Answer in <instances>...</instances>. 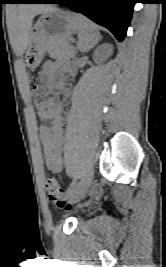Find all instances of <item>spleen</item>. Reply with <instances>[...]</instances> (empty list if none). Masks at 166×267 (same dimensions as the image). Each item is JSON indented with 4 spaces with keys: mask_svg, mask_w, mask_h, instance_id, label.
Listing matches in <instances>:
<instances>
[{
    "mask_svg": "<svg viewBox=\"0 0 166 267\" xmlns=\"http://www.w3.org/2000/svg\"><path fill=\"white\" fill-rule=\"evenodd\" d=\"M78 32V49L82 52L88 51L94 47L100 37L96 25L83 16H80V27Z\"/></svg>",
    "mask_w": 166,
    "mask_h": 267,
    "instance_id": "1",
    "label": "spleen"
}]
</instances>
